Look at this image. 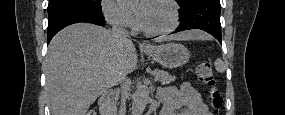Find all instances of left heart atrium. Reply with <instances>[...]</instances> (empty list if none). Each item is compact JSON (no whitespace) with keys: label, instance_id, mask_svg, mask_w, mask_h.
I'll return each mask as SVG.
<instances>
[{"label":"left heart atrium","instance_id":"obj_1","mask_svg":"<svg viewBox=\"0 0 285 115\" xmlns=\"http://www.w3.org/2000/svg\"><path fill=\"white\" fill-rule=\"evenodd\" d=\"M142 17H143V13L142 11L139 10V18L142 19Z\"/></svg>","mask_w":285,"mask_h":115}]
</instances>
